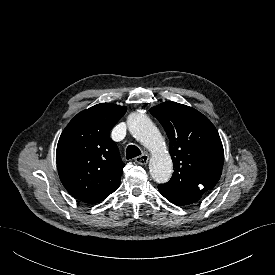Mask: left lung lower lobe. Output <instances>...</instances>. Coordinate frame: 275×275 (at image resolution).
<instances>
[{
    "mask_svg": "<svg viewBox=\"0 0 275 275\" xmlns=\"http://www.w3.org/2000/svg\"><path fill=\"white\" fill-rule=\"evenodd\" d=\"M162 194V193H161ZM163 195V194H162ZM168 199V198H167ZM170 202H172L173 204H176V205H179V206H182V205H188V204H191V203H194L196 201H198L199 199H188V200H183V201H173V200H170L168 199Z\"/></svg>",
    "mask_w": 275,
    "mask_h": 275,
    "instance_id": "left-lung-lower-lobe-1",
    "label": "left lung lower lobe"
}]
</instances>
